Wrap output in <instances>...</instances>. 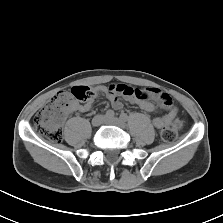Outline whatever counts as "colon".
Returning <instances> with one entry per match:
<instances>
[{"label": "colon", "mask_w": 223, "mask_h": 223, "mask_svg": "<svg viewBox=\"0 0 223 223\" xmlns=\"http://www.w3.org/2000/svg\"><path fill=\"white\" fill-rule=\"evenodd\" d=\"M124 93L140 99L146 98V94L137 88L127 89ZM95 96V89L89 86H75L69 91L58 92L34 116V131L51 142H60L63 135L62 123L75 104V101H88ZM161 135L165 142H175L177 139L176 126L173 123L165 124Z\"/></svg>", "instance_id": "obj_1"}]
</instances>
